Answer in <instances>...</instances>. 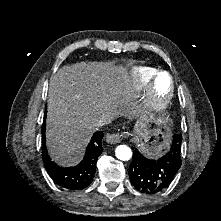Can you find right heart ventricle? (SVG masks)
Segmentation results:
<instances>
[{
  "mask_svg": "<svg viewBox=\"0 0 221 221\" xmlns=\"http://www.w3.org/2000/svg\"><path fill=\"white\" fill-rule=\"evenodd\" d=\"M156 70L152 68H143L140 73V82L142 85L147 84L154 76Z\"/></svg>",
  "mask_w": 221,
  "mask_h": 221,
  "instance_id": "obj_1",
  "label": "right heart ventricle"
}]
</instances>
